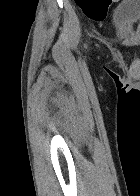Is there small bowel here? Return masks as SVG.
I'll return each instance as SVG.
<instances>
[{
	"label": "small bowel",
	"instance_id": "small-bowel-1",
	"mask_svg": "<svg viewBox=\"0 0 140 196\" xmlns=\"http://www.w3.org/2000/svg\"><path fill=\"white\" fill-rule=\"evenodd\" d=\"M112 1H113V2H118L119 0H110V2H112Z\"/></svg>",
	"mask_w": 140,
	"mask_h": 196
}]
</instances>
